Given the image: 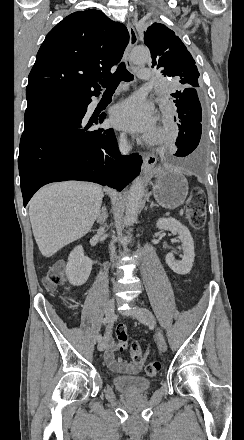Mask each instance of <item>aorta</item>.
<instances>
[{
	"label": "aorta",
	"instance_id": "762f6f07",
	"mask_svg": "<svg viewBox=\"0 0 244 440\" xmlns=\"http://www.w3.org/2000/svg\"><path fill=\"white\" fill-rule=\"evenodd\" d=\"M150 58V52L146 47H135L131 52V60L134 63H143ZM144 196V186L140 176L135 178L128 192L126 201L125 225L130 226L135 222Z\"/></svg>",
	"mask_w": 244,
	"mask_h": 440
}]
</instances>
